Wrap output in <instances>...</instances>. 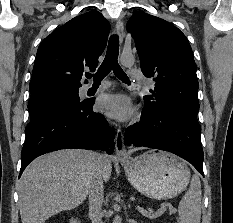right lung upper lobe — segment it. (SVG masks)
<instances>
[{"label":"right lung upper lobe","instance_id":"right-lung-upper-lobe-1","mask_svg":"<svg viewBox=\"0 0 233 223\" xmlns=\"http://www.w3.org/2000/svg\"><path fill=\"white\" fill-rule=\"evenodd\" d=\"M109 31V22L96 10L77 16L55 29L39 45L30 93L81 87L84 68L95 71Z\"/></svg>","mask_w":233,"mask_h":223}]
</instances>
